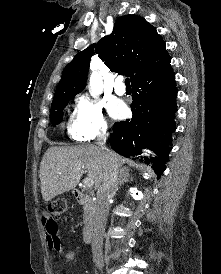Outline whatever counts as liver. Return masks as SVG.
<instances>
[{
    "label": "liver",
    "instance_id": "liver-1",
    "mask_svg": "<svg viewBox=\"0 0 221 274\" xmlns=\"http://www.w3.org/2000/svg\"><path fill=\"white\" fill-rule=\"evenodd\" d=\"M118 166L125 160L113 151ZM105 151L95 145L75 147H50L40 164L39 177L41 193L44 201L49 202L54 197L74 189L84 172L92 178L98 189L105 173Z\"/></svg>",
    "mask_w": 221,
    "mask_h": 274
}]
</instances>
